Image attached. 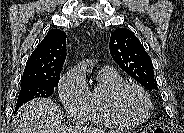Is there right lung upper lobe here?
Here are the masks:
<instances>
[{"mask_svg": "<svg viewBox=\"0 0 184 133\" xmlns=\"http://www.w3.org/2000/svg\"><path fill=\"white\" fill-rule=\"evenodd\" d=\"M66 58V33L48 31L26 62L21 81L48 80L60 76Z\"/></svg>", "mask_w": 184, "mask_h": 133, "instance_id": "1", "label": "right lung upper lobe"}]
</instances>
